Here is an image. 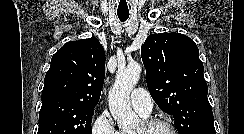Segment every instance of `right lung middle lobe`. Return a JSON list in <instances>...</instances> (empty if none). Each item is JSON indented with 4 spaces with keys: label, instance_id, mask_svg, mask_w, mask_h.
<instances>
[{
    "label": "right lung middle lobe",
    "instance_id": "1",
    "mask_svg": "<svg viewBox=\"0 0 244 134\" xmlns=\"http://www.w3.org/2000/svg\"><path fill=\"white\" fill-rule=\"evenodd\" d=\"M95 107L51 100L42 103L37 134H92Z\"/></svg>",
    "mask_w": 244,
    "mask_h": 134
}]
</instances>
